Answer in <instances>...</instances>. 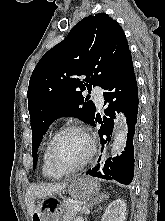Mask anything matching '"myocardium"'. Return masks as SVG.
<instances>
[{
	"instance_id": "myocardium-1",
	"label": "myocardium",
	"mask_w": 165,
	"mask_h": 221,
	"mask_svg": "<svg viewBox=\"0 0 165 221\" xmlns=\"http://www.w3.org/2000/svg\"><path fill=\"white\" fill-rule=\"evenodd\" d=\"M71 131H78L86 136V138L89 141V151L87 155L85 156V158L74 167L67 168V169L59 168L53 160V147H54L55 142L60 136ZM95 152H96V142H95L94 137L91 135V133L82 125L71 124V125H67L59 129L50 139L48 146H47V161H48L50 168L55 173L59 175L71 174L82 169L84 166H86L94 157Z\"/></svg>"
}]
</instances>
